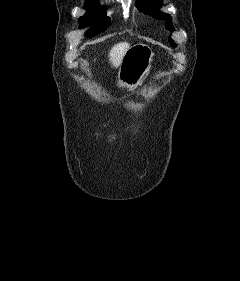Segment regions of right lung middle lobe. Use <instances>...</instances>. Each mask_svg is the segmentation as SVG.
<instances>
[{
    "instance_id": "1",
    "label": "right lung middle lobe",
    "mask_w": 240,
    "mask_h": 281,
    "mask_svg": "<svg viewBox=\"0 0 240 281\" xmlns=\"http://www.w3.org/2000/svg\"><path fill=\"white\" fill-rule=\"evenodd\" d=\"M86 9L89 10V13L79 19V28H84L95 22H99V24L97 26H94L89 32L86 33V35L90 37L97 33L105 31L109 26L111 20L109 17L105 16L106 9L103 7H99L97 1H87Z\"/></svg>"
}]
</instances>
